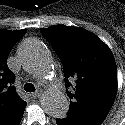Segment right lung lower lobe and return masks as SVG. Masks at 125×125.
Masks as SVG:
<instances>
[{
	"label": "right lung lower lobe",
	"mask_w": 125,
	"mask_h": 125,
	"mask_svg": "<svg viewBox=\"0 0 125 125\" xmlns=\"http://www.w3.org/2000/svg\"><path fill=\"white\" fill-rule=\"evenodd\" d=\"M25 103L20 108H18L15 112L11 113L10 115L4 117L0 120V125H19L21 119L23 117V113L26 107Z\"/></svg>",
	"instance_id": "1"
}]
</instances>
